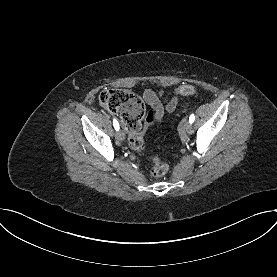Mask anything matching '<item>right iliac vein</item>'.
I'll return each instance as SVG.
<instances>
[{
  "label": "right iliac vein",
  "mask_w": 277,
  "mask_h": 277,
  "mask_svg": "<svg viewBox=\"0 0 277 277\" xmlns=\"http://www.w3.org/2000/svg\"><path fill=\"white\" fill-rule=\"evenodd\" d=\"M116 138L119 140V141H124L125 139V133L123 132V130H118L116 132Z\"/></svg>",
  "instance_id": "1"
}]
</instances>
